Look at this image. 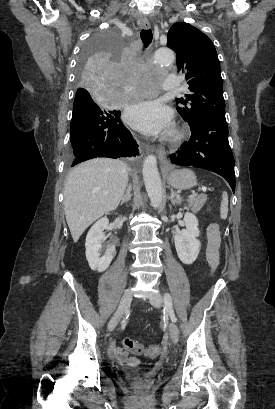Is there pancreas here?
Instances as JSON below:
<instances>
[{
  "label": "pancreas",
  "mask_w": 275,
  "mask_h": 409,
  "mask_svg": "<svg viewBox=\"0 0 275 409\" xmlns=\"http://www.w3.org/2000/svg\"><path fill=\"white\" fill-rule=\"evenodd\" d=\"M207 200V194H198V196H193V198H189L188 202L190 207H192L193 213H198L200 209H202L203 205Z\"/></svg>",
  "instance_id": "obj_1"
}]
</instances>
